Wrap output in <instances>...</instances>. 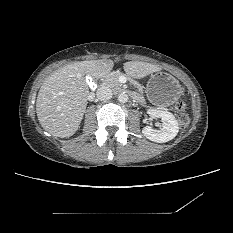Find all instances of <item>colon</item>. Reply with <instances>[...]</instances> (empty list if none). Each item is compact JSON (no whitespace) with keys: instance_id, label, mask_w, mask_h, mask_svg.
Masks as SVG:
<instances>
[{"instance_id":"5ec220e1","label":"colon","mask_w":233,"mask_h":233,"mask_svg":"<svg viewBox=\"0 0 233 233\" xmlns=\"http://www.w3.org/2000/svg\"><path fill=\"white\" fill-rule=\"evenodd\" d=\"M175 110L178 114V122L181 127L189 125L190 119L187 115L188 105L184 101H178L175 105Z\"/></svg>"}]
</instances>
